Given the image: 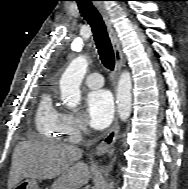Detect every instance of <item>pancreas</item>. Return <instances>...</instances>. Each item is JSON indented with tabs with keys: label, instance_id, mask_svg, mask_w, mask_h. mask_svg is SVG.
I'll use <instances>...</instances> for the list:
<instances>
[{
	"label": "pancreas",
	"instance_id": "obj_1",
	"mask_svg": "<svg viewBox=\"0 0 188 189\" xmlns=\"http://www.w3.org/2000/svg\"><path fill=\"white\" fill-rule=\"evenodd\" d=\"M58 182H55L54 184H53V186H52V189H57V186H58Z\"/></svg>",
	"mask_w": 188,
	"mask_h": 189
}]
</instances>
